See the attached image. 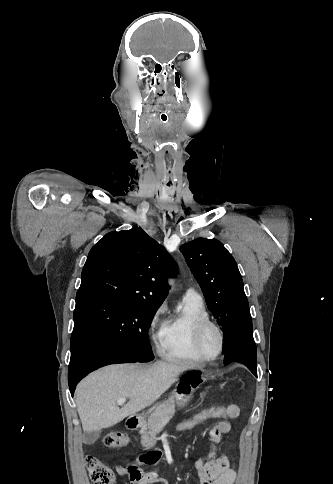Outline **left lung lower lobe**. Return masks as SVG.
<instances>
[{
  "label": "left lung lower lobe",
  "mask_w": 333,
  "mask_h": 484,
  "mask_svg": "<svg viewBox=\"0 0 333 484\" xmlns=\"http://www.w3.org/2000/svg\"><path fill=\"white\" fill-rule=\"evenodd\" d=\"M240 362L246 365L257 376L256 345L253 339L251 315L238 322L231 332L224 353V363Z\"/></svg>",
  "instance_id": "left-lung-lower-lobe-1"
}]
</instances>
